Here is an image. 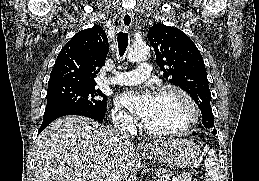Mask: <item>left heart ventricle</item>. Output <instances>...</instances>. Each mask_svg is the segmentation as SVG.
<instances>
[{
    "label": "left heart ventricle",
    "mask_w": 259,
    "mask_h": 181,
    "mask_svg": "<svg viewBox=\"0 0 259 181\" xmlns=\"http://www.w3.org/2000/svg\"><path fill=\"white\" fill-rule=\"evenodd\" d=\"M189 120L186 103L175 93L154 96L152 109L144 122L157 130H173L184 126Z\"/></svg>",
    "instance_id": "1"
}]
</instances>
